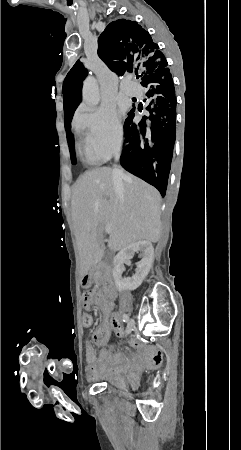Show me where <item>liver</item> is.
Segmentation results:
<instances>
[{
	"instance_id": "obj_1",
	"label": "liver",
	"mask_w": 241,
	"mask_h": 450,
	"mask_svg": "<svg viewBox=\"0 0 241 450\" xmlns=\"http://www.w3.org/2000/svg\"><path fill=\"white\" fill-rule=\"evenodd\" d=\"M112 168H95L78 178L71 200L82 278L104 254L103 232H112L108 248L123 250L138 240L158 242L161 234V196L153 186L125 172L123 190L113 186Z\"/></svg>"
}]
</instances>
